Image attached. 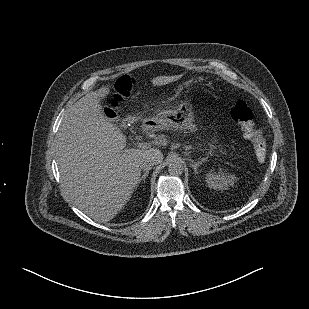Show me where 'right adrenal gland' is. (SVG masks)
<instances>
[{"label":"right adrenal gland","mask_w":309,"mask_h":309,"mask_svg":"<svg viewBox=\"0 0 309 309\" xmlns=\"http://www.w3.org/2000/svg\"><path fill=\"white\" fill-rule=\"evenodd\" d=\"M149 175V171H147V172H145L142 176H141V178H140V181H144V183H145V180H146V177ZM139 181V182H140Z\"/></svg>","instance_id":"2a0ac1e0"}]
</instances>
